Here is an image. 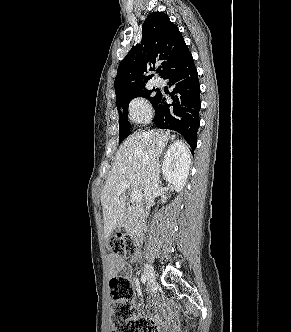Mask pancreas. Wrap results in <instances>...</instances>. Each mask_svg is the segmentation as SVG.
<instances>
[{
	"instance_id": "obj_1",
	"label": "pancreas",
	"mask_w": 291,
	"mask_h": 332,
	"mask_svg": "<svg viewBox=\"0 0 291 332\" xmlns=\"http://www.w3.org/2000/svg\"><path fill=\"white\" fill-rule=\"evenodd\" d=\"M140 223V213L134 209L129 210L126 215L125 230L131 233L139 227Z\"/></svg>"
}]
</instances>
